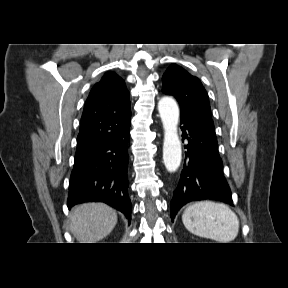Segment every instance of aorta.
<instances>
[{
	"label": "aorta",
	"instance_id": "aorta-1",
	"mask_svg": "<svg viewBox=\"0 0 288 288\" xmlns=\"http://www.w3.org/2000/svg\"><path fill=\"white\" fill-rule=\"evenodd\" d=\"M158 111L164 129L163 161L169 172H175L182 158L181 143L177 132L179 108L174 99L163 97L158 102Z\"/></svg>",
	"mask_w": 288,
	"mask_h": 288
}]
</instances>
